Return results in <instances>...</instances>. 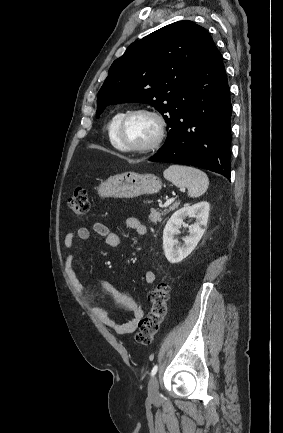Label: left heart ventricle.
Here are the masks:
<instances>
[{
	"label": "left heart ventricle",
	"instance_id": "obj_1",
	"mask_svg": "<svg viewBox=\"0 0 283 433\" xmlns=\"http://www.w3.org/2000/svg\"><path fill=\"white\" fill-rule=\"evenodd\" d=\"M159 133L155 118L148 114H137L129 119L123 130L124 141L133 147H144L151 144Z\"/></svg>",
	"mask_w": 283,
	"mask_h": 433
}]
</instances>
